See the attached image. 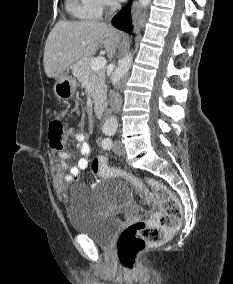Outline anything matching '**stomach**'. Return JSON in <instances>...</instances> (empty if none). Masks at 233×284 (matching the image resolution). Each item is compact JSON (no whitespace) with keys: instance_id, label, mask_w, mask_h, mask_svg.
Returning <instances> with one entry per match:
<instances>
[{"instance_id":"1","label":"stomach","mask_w":233,"mask_h":284,"mask_svg":"<svg viewBox=\"0 0 233 284\" xmlns=\"http://www.w3.org/2000/svg\"><path fill=\"white\" fill-rule=\"evenodd\" d=\"M55 84L53 87L56 97L59 99L67 100L73 97L77 82L75 78L70 75L69 71H64L55 77Z\"/></svg>"}]
</instances>
